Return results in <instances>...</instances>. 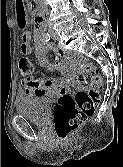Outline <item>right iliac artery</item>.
I'll return each mask as SVG.
<instances>
[{"label":"right iliac artery","mask_w":123,"mask_h":167,"mask_svg":"<svg viewBox=\"0 0 123 167\" xmlns=\"http://www.w3.org/2000/svg\"><path fill=\"white\" fill-rule=\"evenodd\" d=\"M50 38H51V36H50V34L48 32L47 33H43V35H42L43 41L48 42L50 40Z\"/></svg>","instance_id":"82829eb1"}]
</instances>
